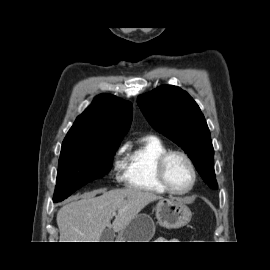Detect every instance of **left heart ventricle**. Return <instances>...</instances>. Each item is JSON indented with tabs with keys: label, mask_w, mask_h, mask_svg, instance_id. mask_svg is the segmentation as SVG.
<instances>
[{
	"label": "left heart ventricle",
	"mask_w": 270,
	"mask_h": 270,
	"mask_svg": "<svg viewBox=\"0 0 270 270\" xmlns=\"http://www.w3.org/2000/svg\"><path fill=\"white\" fill-rule=\"evenodd\" d=\"M167 178L177 190H185L192 182V172L187 162L180 156H172L166 166Z\"/></svg>",
	"instance_id": "1"
}]
</instances>
